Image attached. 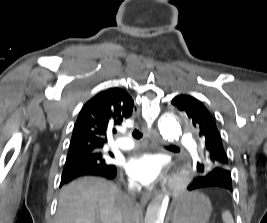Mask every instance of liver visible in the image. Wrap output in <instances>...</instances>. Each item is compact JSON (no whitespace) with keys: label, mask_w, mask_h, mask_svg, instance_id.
Instances as JSON below:
<instances>
[{"label":"liver","mask_w":267,"mask_h":223,"mask_svg":"<svg viewBox=\"0 0 267 223\" xmlns=\"http://www.w3.org/2000/svg\"><path fill=\"white\" fill-rule=\"evenodd\" d=\"M125 195L101 178L84 177L62 188L55 223H123ZM141 211L134 209L135 223Z\"/></svg>","instance_id":"6515ba94"}]
</instances>
